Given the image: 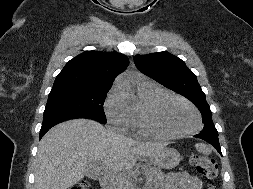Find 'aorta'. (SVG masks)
<instances>
[{"label":"aorta","instance_id":"762f6f07","mask_svg":"<svg viewBox=\"0 0 253 189\" xmlns=\"http://www.w3.org/2000/svg\"><path fill=\"white\" fill-rule=\"evenodd\" d=\"M118 87L126 94L129 100H134L135 96L132 91L131 84L126 80H119L117 83Z\"/></svg>","mask_w":253,"mask_h":189}]
</instances>
